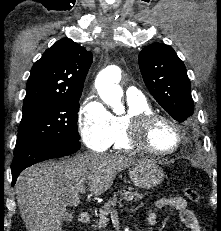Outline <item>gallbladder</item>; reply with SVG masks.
<instances>
[{"mask_svg":"<svg viewBox=\"0 0 221 231\" xmlns=\"http://www.w3.org/2000/svg\"><path fill=\"white\" fill-rule=\"evenodd\" d=\"M73 220V213L72 212H65L63 216V221L64 222H71Z\"/></svg>","mask_w":221,"mask_h":231,"instance_id":"gallbladder-1","label":"gallbladder"}]
</instances>
